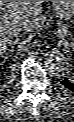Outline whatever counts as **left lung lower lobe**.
Segmentation results:
<instances>
[{"mask_svg":"<svg viewBox=\"0 0 74 122\" xmlns=\"http://www.w3.org/2000/svg\"><path fill=\"white\" fill-rule=\"evenodd\" d=\"M61 84L72 91H74V82L68 78H65L61 81Z\"/></svg>","mask_w":74,"mask_h":122,"instance_id":"obj_1","label":"left lung lower lobe"}]
</instances>
